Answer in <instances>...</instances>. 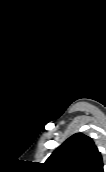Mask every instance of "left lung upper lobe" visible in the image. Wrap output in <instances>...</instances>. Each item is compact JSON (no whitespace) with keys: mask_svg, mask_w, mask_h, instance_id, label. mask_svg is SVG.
<instances>
[{"mask_svg":"<svg viewBox=\"0 0 106 172\" xmlns=\"http://www.w3.org/2000/svg\"><path fill=\"white\" fill-rule=\"evenodd\" d=\"M49 172H104L101 153L93 140L76 133L60 145L46 160Z\"/></svg>","mask_w":106,"mask_h":172,"instance_id":"left-lung-upper-lobe-1","label":"left lung upper lobe"}]
</instances>
